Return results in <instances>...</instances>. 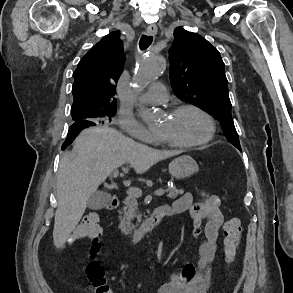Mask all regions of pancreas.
<instances>
[{
    "instance_id": "obj_1",
    "label": "pancreas",
    "mask_w": 293,
    "mask_h": 293,
    "mask_svg": "<svg viewBox=\"0 0 293 293\" xmlns=\"http://www.w3.org/2000/svg\"><path fill=\"white\" fill-rule=\"evenodd\" d=\"M167 197L171 199L177 198L178 195L184 193L183 189H177L174 187H169L167 190ZM125 206L123 207V217L121 219L120 228L121 230L129 234L132 230H135L136 233L141 232V229H136L141 222V215L138 213V203L135 196L128 194L124 201ZM137 218V223L134 225L132 221Z\"/></svg>"
}]
</instances>
